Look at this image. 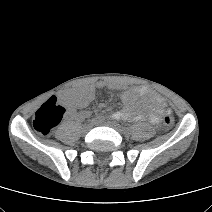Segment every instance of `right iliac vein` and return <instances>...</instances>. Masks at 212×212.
<instances>
[{
	"label": "right iliac vein",
	"mask_w": 212,
	"mask_h": 212,
	"mask_svg": "<svg viewBox=\"0 0 212 212\" xmlns=\"http://www.w3.org/2000/svg\"><path fill=\"white\" fill-rule=\"evenodd\" d=\"M92 127H93V125H92L91 123L85 124V125L82 127V132H83V133H87L88 131L91 130Z\"/></svg>",
	"instance_id": "right-iliac-vein-1"
}]
</instances>
